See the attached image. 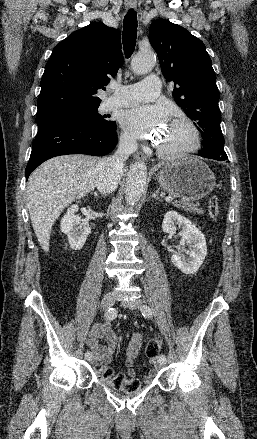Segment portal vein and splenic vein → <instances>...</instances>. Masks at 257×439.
<instances>
[{"mask_svg":"<svg viewBox=\"0 0 257 439\" xmlns=\"http://www.w3.org/2000/svg\"><path fill=\"white\" fill-rule=\"evenodd\" d=\"M173 199H174V197H172V196H168V197L165 198V200H166L167 202H170V201H172Z\"/></svg>","mask_w":257,"mask_h":439,"instance_id":"portal-vein-and-splenic-vein-1","label":"portal vein and splenic vein"}]
</instances>
